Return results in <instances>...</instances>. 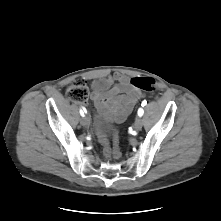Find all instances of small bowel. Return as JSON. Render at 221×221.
I'll return each instance as SVG.
<instances>
[{"label": "small bowel", "mask_w": 221, "mask_h": 221, "mask_svg": "<svg viewBox=\"0 0 221 221\" xmlns=\"http://www.w3.org/2000/svg\"><path fill=\"white\" fill-rule=\"evenodd\" d=\"M92 96L109 107L113 119L121 123L127 119L143 94L130 83V78L116 72L92 84Z\"/></svg>", "instance_id": "1"}]
</instances>
